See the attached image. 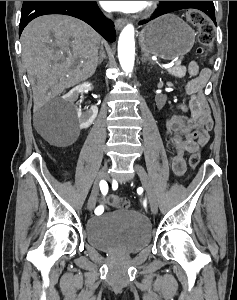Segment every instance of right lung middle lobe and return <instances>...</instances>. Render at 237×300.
<instances>
[{"label": "right lung middle lobe", "mask_w": 237, "mask_h": 300, "mask_svg": "<svg viewBox=\"0 0 237 300\" xmlns=\"http://www.w3.org/2000/svg\"><path fill=\"white\" fill-rule=\"evenodd\" d=\"M27 2H29V1H24V3H27Z\"/></svg>", "instance_id": "right-lung-middle-lobe-1"}]
</instances>
